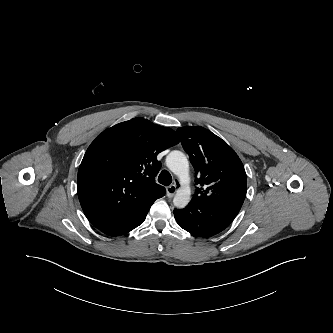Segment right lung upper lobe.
I'll return each mask as SVG.
<instances>
[{"label":"right lung upper lobe","instance_id":"1","mask_svg":"<svg viewBox=\"0 0 333 333\" xmlns=\"http://www.w3.org/2000/svg\"><path fill=\"white\" fill-rule=\"evenodd\" d=\"M179 142L176 132L133 118L103 131L88 147L77 177L87 219L98 226L148 211L165 194L155 183L157 155Z\"/></svg>","mask_w":333,"mask_h":333}]
</instances>
